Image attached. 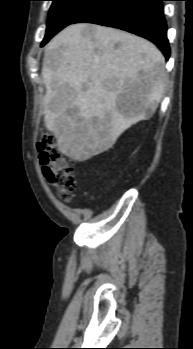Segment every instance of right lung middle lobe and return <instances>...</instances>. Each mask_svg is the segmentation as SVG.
I'll return each mask as SVG.
<instances>
[{
  "label": "right lung middle lobe",
  "instance_id": "dd1d6c3e",
  "mask_svg": "<svg viewBox=\"0 0 193 349\" xmlns=\"http://www.w3.org/2000/svg\"><path fill=\"white\" fill-rule=\"evenodd\" d=\"M53 1L47 21L44 46L56 33L77 19L99 0H51Z\"/></svg>",
  "mask_w": 193,
  "mask_h": 349
}]
</instances>
